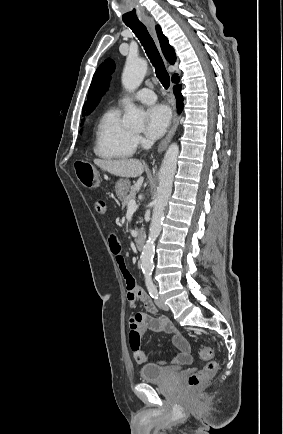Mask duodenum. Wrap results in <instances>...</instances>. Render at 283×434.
Instances as JSON below:
<instances>
[{
	"mask_svg": "<svg viewBox=\"0 0 283 434\" xmlns=\"http://www.w3.org/2000/svg\"><path fill=\"white\" fill-rule=\"evenodd\" d=\"M146 237L143 233L138 234V236L135 239L136 247L138 250L142 251L145 246Z\"/></svg>",
	"mask_w": 283,
	"mask_h": 434,
	"instance_id": "duodenum-1",
	"label": "duodenum"
}]
</instances>
